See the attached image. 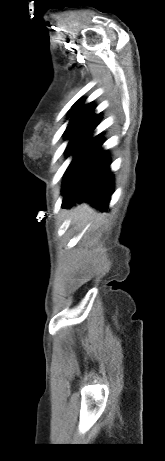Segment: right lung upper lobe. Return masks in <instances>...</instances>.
Masks as SVG:
<instances>
[{
	"label": "right lung upper lobe",
	"mask_w": 165,
	"mask_h": 461,
	"mask_svg": "<svg viewBox=\"0 0 165 461\" xmlns=\"http://www.w3.org/2000/svg\"><path fill=\"white\" fill-rule=\"evenodd\" d=\"M85 100H78L70 110L69 117L91 116L101 118L100 114H94L95 106L93 103L84 104Z\"/></svg>",
	"instance_id": "obj_1"
}]
</instances>
